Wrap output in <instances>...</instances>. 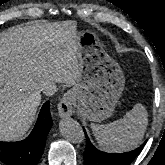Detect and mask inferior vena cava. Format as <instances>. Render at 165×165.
I'll list each match as a JSON object with an SVG mask.
<instances>
[{
    "mask_svg": "<svg viewBox=\"0 0 165 165\" xmlns=\"http://www.w3.org/2000/svg\"><path fill=\"white\" fill-rule=\"evenodd\" d=\"M45 95L51 96L56 92V85L54 82L46 81L43 83L42 90Z\"/></svg>",
    "mask_w": 165,
    "mask_h": 165,
    "instance_id": "obj_1",
    "label": "inferior vena cava"
}]
</instances>
